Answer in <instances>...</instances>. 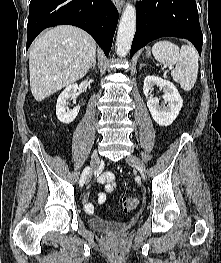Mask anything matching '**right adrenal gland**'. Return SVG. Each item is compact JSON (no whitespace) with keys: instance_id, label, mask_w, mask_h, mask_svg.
<instances>
[{"instance_id":"2a0ac1e0","label":"right adrenal gland","mask_w":221,"mask_h":263,"mask_svg":"<svg viewBox=\"0 0 221 263\" xmlns=\"http://www.w3.org/2000/svg\"><path fill=\"white\" fill-rule=\"evenodd\" d=\"M95 67H96V60L93 61V64H92V66L90 68L91 69H95Z\"/></svg>"}]
</instances>
